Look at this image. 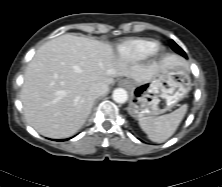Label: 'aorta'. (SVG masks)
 I'll return each mask as SVG.
<instances>
[{"label": "aorta", "mask_w": 222, "mask_h": 187, "mask_svg": "<svg viewBox=\"0 0 222 187\" xmlns=\"http://www.w3.org/2000/svg\"><path fill=\"white\" fill-rule=\"evenodd\" d=\"M113 100L117 103H125L128 99L127 91L123 88H116L112 94Z\"/></svg>", "instance_id": "1"}]
</instances>
